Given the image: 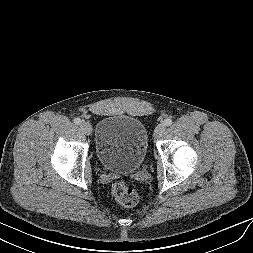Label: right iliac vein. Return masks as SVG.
<instances>
[{
    "mask_svg": "<svg viewBox=\"0 0 253 253\" xmlns=\"http://www.w3.org/2000/svg\"><path fill=\"white\" fill-rule=\"evenodd\" d=\"M82 132L86 135H90L92 132V126L88 122H82L80 124Z\"/></svg>",
    "mask_w": 253,
    "mask_h": 253,
    "instance_id": "obj_1",
    "label": "right iliac vein"
}]
</instances>
